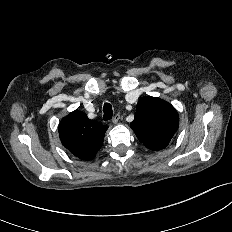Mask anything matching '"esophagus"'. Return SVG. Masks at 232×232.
Listing matches in <instances>:
<instances>
[{
  "mask_svg": "<svg viewBox=\"0 0 232 232\" xmlns=\"http://www.w3.org/2000/svg\"><path fill=\"white\" fill-rule=\"evenodd\" d=\"M120 120V114L117 113L113 118H112V123L117 124Z\"/></svg>",
  "mask_w": 232,
  "mask_h": 232,
  "instance_id": "34e87169",
  "label": "esophagus"
}]
</instances>
